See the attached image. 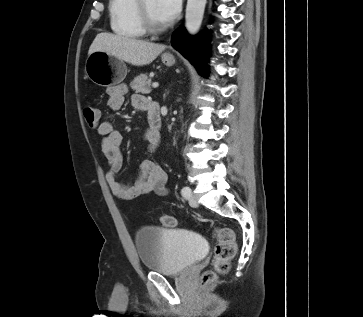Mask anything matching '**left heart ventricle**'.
I'll use <instances>...</instances> for the list:
<instances>
[{
	"label": "left heart ventricle",
	"mask_w": 363,
	"mask_h": 317,
	"mask_svg": "<svg viewBox=\"0 0 363 317\" xmlns=\"http://www.w3.org/2000/svg\"><path fill=\"white\" fill-rule=\"evenodd\" d=\"M146 10L156 25H164L157 11V0H145Z\"/></svg>",
	"instance_id": "1"
}]
</instances>
